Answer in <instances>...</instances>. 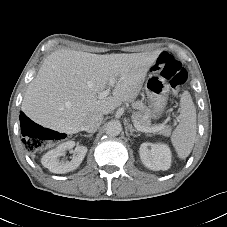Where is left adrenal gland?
<instances>
[{
    "instance_id": "1",
    "label": "left adrenal gland",
    "mask_w": 227,
    "mask_h": 227,
    "mask_svg": "<svg viewBox=\"0 0 227 227\" xmlns=\"http://www.w3.org/2000/svg\"><path fill=\"white\" fill-rule=\"evenodd\" d=\"M127 127H128V129H129V131H130V135H131V136L136 137V136H139V135H140V134H137V135H134V134H133V132H136V133H139V132H138V130L134 129V128L132 127V125L128 124Z\"/></svg>"
}]
</instances>
